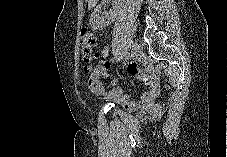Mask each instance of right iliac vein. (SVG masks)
I'll return each instance as SVG.
<instances>
[{
  "label": "right iliac vein",
  "mask_w": 227,
  "mask_h": 157,
  "mask_svg": "<svg viewBox=\"0 0 227 157\" xmlns=\"http://www.w3.org/2000/svg\"><path fill=\"white\" fill-rule=\"evenodd\" d=\"M139 50H140V46L135 43L132 45V50H131V56L132 58H135L137 57L138 53H139Z\"/></svg>",
  "instance_id": "right-iliac-vein-1"
}]
</instances>
